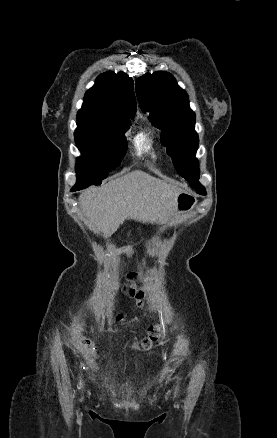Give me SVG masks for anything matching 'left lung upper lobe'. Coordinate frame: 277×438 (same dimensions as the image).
<instances>
[{
    "label": "left lung upper lobe",
    "mask_w": 277,
    "mask_h": 438,
    "mask_svg": "<svg viewBox=\"0 0 277 438\" xmlns=\"http://www.w3.org/2000/svg\"><path fill=\"white\" fill-rule=\"evenodd\" d=\"M140 107L150 114L149 120L161 130V143L167 148L178 173L198 194L206 190L199 182L198 160L194 158L199 139L195 131V113L189 98L169 73H147L136 81Z\"/></svg>",
    "instance_id": "1"
}]
</instances>
